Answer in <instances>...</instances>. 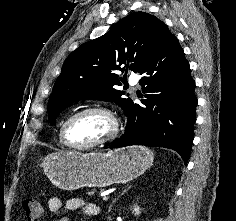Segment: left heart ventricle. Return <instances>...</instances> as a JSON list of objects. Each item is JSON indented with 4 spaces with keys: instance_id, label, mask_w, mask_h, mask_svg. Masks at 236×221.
Here are the masks:
<instances>
[{
    "instance_id": "b2bd125f",
    "label": "left heart ventricle",
    "mask_w": 236,
    "mask_h": 221,
    "mask_svg": "<svg viewBox=\"0 0 236 221\" xmlns=\"http://www.w3.org/2000/svg\"><path fill=\"white\" fill-rule=\"evenodd\" d=\"M112 131L110 118L98 112L75 118L68 126L67 136L76 145H86L106 138Z\"/></svg>"
}]
</instances>
